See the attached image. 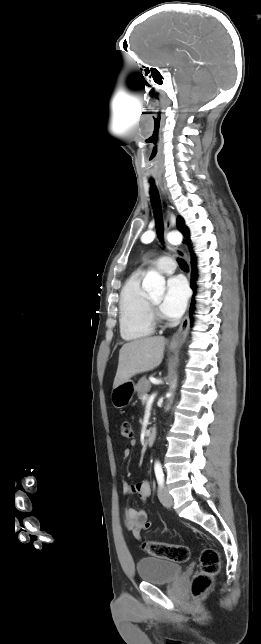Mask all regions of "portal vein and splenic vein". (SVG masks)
I'll list each match as a JSON object with an SVG mask.
<instances>
[{"mask_svg":"<svg viewBox=\"0 0 261 644\" xmlns=\"http://www.w3.org/2000/svg\"><path fill=\"white\" fill-rule=\"evenodd\" d=\"M148 398H149V397H148V395H147V394L143 395V397H142V399H143L144 401L148 400Z\"/></svg>","mask_w":261,"mask_h":644,"instance_id":"obj_1","label":"portal vein and splenic vein"}]
</instances>
